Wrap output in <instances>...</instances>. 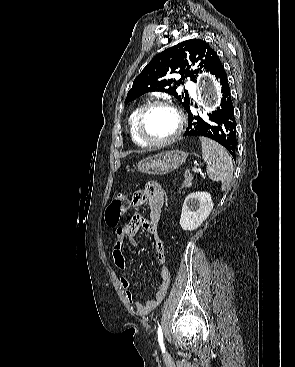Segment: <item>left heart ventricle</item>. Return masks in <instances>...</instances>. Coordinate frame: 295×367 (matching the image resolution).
I'll return each mask as SVG.
<instances>
[{
  "instance_id": "left-heart-ventricle-1",
  "label": "left heart ventricle",
  "mask_w": 295,
  "mask_h": 367,
  "mask_svg": "<svg viewBox=\"0 0 295 367\" xmlns=\"http://www.w3.org/2000/svg\"><path fill=\"white\" fill-rule=\"evenodd\" d=\"M177 126V117L171 109L155 107L146 114L143 129L149 139L159 141L172 136Z\"/></svg>"
}]
</instances>
